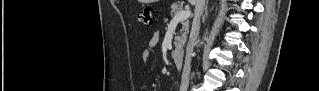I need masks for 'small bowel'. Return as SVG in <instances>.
<instances>
[{
	"label": "small bowel",
	"instance_id": "small-bowel-1",
	"mask_svg": "<svg viewBox=\"0 0 319 91\" xmlns=\"http://www.w3.org/2000/svg\"><path fill=\"white\" fill-rule=\"evenodd\" d=\"M156 43H157V37H156V36H153V37L151 38V40H150L149 48L146 49V50H144L143 53H142L141 58H142V60H143L144 62L150 61V59H151V52H152V49L155 47Z\"/></svg>",
	"mask_w": 319,
	"mask_h": 91
}]
</instances>
